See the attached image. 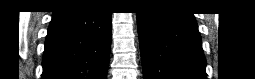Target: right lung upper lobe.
Instances as JSON below:
<instances>
[{
  "instance_id": "obj_1",
  "label": "right lung upper lobe",
  "mask_w": 255,
  "mask_h": 79,
  "mask_svg": "<svg viewBox=\"0 0 255 79\" xmlns=\"http://www.w3.org/2000/svg\"><path fill=\"white\" fill-rule=\"evenodd\" d=\"M88 1H85V0H74V1H66L64 2L65 5H71V4H77V3H86Z\"/></svg>"
}]
</instances>
